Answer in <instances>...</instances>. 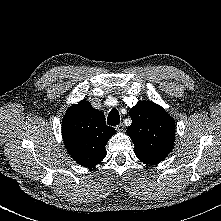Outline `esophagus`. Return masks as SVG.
Instances as JSON below:
<instances>
[{
    "label": "esophagus",
    "mask_w": 221,
    "mask_h": 221,
    "mask_svg": "<svg viewBox=\"0 0 221 221\" xmlns=\"http://www.w3.org/2000/svg\"><path fill=\"white\" fill-rule=\"evenodd\" d=\"M115 129L119 132L123 131L124 130V125L122 123L118 124Z\"/></svg>",
    "instance_id": "34e87169"
}]
</instances>
